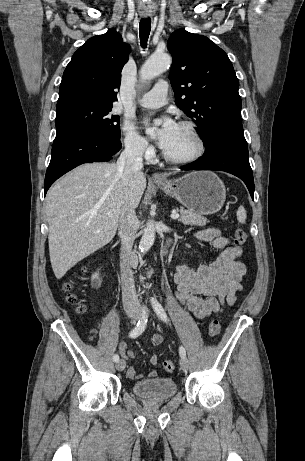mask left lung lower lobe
<instances>
[{"instance_id":"obj_1","label":"left lung lower lobe","mask_w":305,"mask_h":461,"mask_svg":"<svg viewBox=\"0 0 305 461\" xmlns=\"http://www.w3.org/2000/svg\"><path fill=\"white\" fill-rule=\"evenodd\" d=\"M205 153L182 170H220L244 181L254 199V180L241 120L219 123L204 142Z\"/></svg>"}]
</instances>
